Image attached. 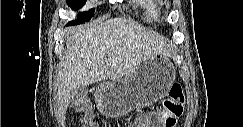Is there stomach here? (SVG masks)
<instances>
[{"label": "stomach", "mask_w": 243, "mask_h": 127, "mask_svg": "<svg viewBox=\"0 0 243 127\" xmlns=\"http://www.w3.org/2000/svg\"><path fill=\"white\" fill-rule=\"evenodd\" d=\"M174 80L171 61L161 54L152 55L124 79L101 83L95 94L97 107L107 117H122L165 97Z\"/></svg>", "instance_id": "stomach-1"}]
</instances>
